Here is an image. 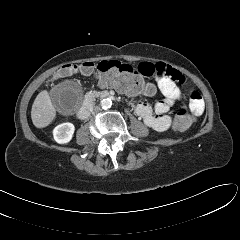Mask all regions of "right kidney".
<instances>
[{"label":"right kidney","instance_id":"obj_1","mask_svg":"<svg viewBox=\"0 0 240 240\" xmlns=\"http://www.w3.org/2000/svg\"><path fill=\"white\" fill-rule=\"evenodd\" d=\"M75 127L72 123H62L53 129V139L59 144L68 143L74 134Z\"/></svg>","mask_w":240,"mask_h":240}]
</instances>
